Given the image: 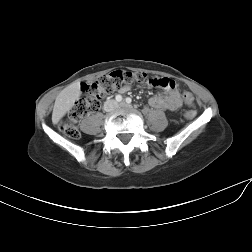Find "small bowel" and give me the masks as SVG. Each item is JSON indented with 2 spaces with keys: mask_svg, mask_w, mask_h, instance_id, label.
I'll list each match as a JSON object with an SVG mask.
<instances>
[{
  "mask_svg": "<svg viewBox=\"0 0 252 252\" xmlns=\"http://www.w3.org/2000/svg\"><path fill=\"white\" fill-rule=\"evenodd\" d=\"M151 86L162 88L167 92L164 95L152 96L149 99V105L151 107L155 109H167L172 111L180 108L182 102L177 84L174 80L167 77L152 78Z\"/></svg>",
  "mask_w": 252,
  "mask_h": 252,
  "instance_id": "small-bowel-1",
  "label": "small bowel"
}]
</instances>
